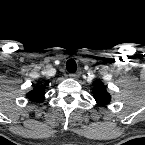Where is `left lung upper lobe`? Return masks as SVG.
Here are the masks:
<instances>
[{"label": "left lung upper lobe", "mask_w": 145, "mask_h": 145, "mask_svg": "<svg viewBox=\"0 0 145 145\" xmlns=\"http://www.w3.org/2000/svg\"><path fill=\"white\" fill-rule=\"evenodd\" d=\"M93 94L96 102L100 106L107 105L111 100V95L106 91V86L101 80L93 82Z\"/></svg>", "instance_id": "5c2ea615"}]
</instances>
